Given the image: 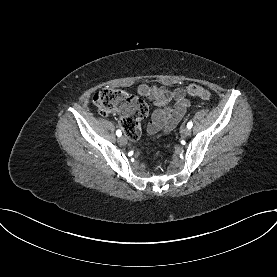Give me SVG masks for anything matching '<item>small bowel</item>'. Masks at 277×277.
I'll return each mask as SVG.
<instances>
[{
	"instance_id": "c3829d8e",
	"label": "small bowel",
	"mask_w": 277,
	"mask_h": 277,
	"mask_svg": "<svg viewBox=\"0 0 277 277\" xmlns=\"http://www.w3.org/2000/svg\"><path fill=\"white\" fill-rule=\"evenodd\" d=\"M137 92L156 107L147 127L150 134L170 132L190 107L183 88L171 90L163 86L140 84Z\"/></svg>"
}]
</instances>
